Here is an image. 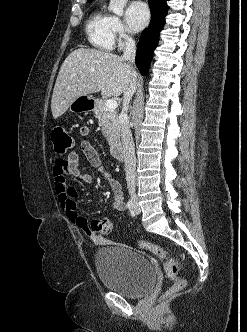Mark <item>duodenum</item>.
Listing matches in <instances>:
<instances>
[{
  "instance_id": "obj_1",
  "label": "duodenum",
  "mask_w": 247,
  "mask_h": 332,
  "mask_svg": "<svg viewBox=\"0 0 247 332\" xmlns=\"http://www.w3.org/2000/svg\"><path fill=\"white\" fill-rule=\"evenodd\" d=\"M112 154L113 156L118 159V160H122L124 158V151L121 145H115L112 148Z\"/></svg>"
}]
</instances>
